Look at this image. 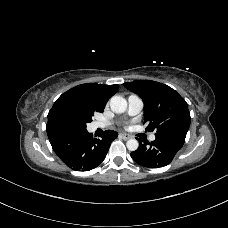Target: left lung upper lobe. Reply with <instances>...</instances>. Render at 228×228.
<instances>
[{"instance_id": "obj_1", "label": "left lung upper lobe", "mask_w": 228, "mask_h": 228, "mask_svg": "<svg viewBox=\"0 0 228 228\" xmlns=\"http://www.w3.org/2000/svg\"><path fill=\"white\" fill-rule=\"evenodd\" d=\"M144 101V123L147 131L156 134L167 131L187 132L190 112L186 101L171 87L151 80H138L123 84Z\"/></svg>"}]
</instances>
